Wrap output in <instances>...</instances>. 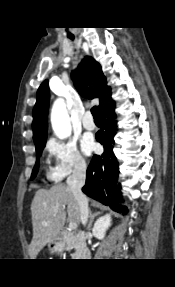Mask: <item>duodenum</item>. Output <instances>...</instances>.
<instances>
[{
	"mask_svg": "<svg viewBox=\"0 0 175 287\" xmlns=\"http://www.w3.org/2000/svg\"><path fill=\"white\" fill-rule=\"evenodd\" d=\"M86 238L87 235L84 232H78L75 234L72 232L64 231L61 233L59 242L62 244V249H64L65 244L77 245L79 257L82 259H89L91 253L86 248Z\"/></svg>",
	"mask_w": 175,
	"mask_h": 287,
	"instance_id": "1",
	"label": "duodenum"
}]
</instances>
